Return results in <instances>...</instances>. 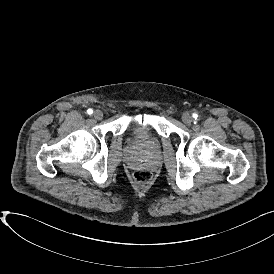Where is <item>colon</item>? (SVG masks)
<instances>
[{
    "instance_id": "obj_1",
    "label": "colon",
    "mask_w": 274,
    "mask_h": 274,
    "mask_svg": "<svg viewBox=\"0 0 274 274\" xmlns=\"http://www.w3.org/2000/svg\"><path fill=\"white\" fill-rule=\"evenodd\" d=\"M133 180L139 185H148L152 181V173L147 168H141L134 172Z\"/></svg>"
}]
</instances>
